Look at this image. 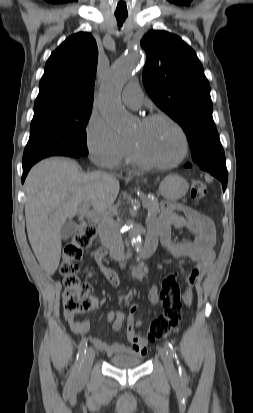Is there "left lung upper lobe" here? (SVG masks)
Listing matches in <instances>:
<instances>
[{"mask_svg":"<svg viewBox=\"0 0 253 413\" xmlns=\"http://www.w3.org/2000/svg\"><path fill=\"white\" fill-rule=\"evenodd\" d=\"M146 51L143 83L154 103L184 130L192 159L199 166L226 163L212 117L210 85L194 50L166 31H149L141 40Z\"/></svg>","mask_w":253,"mask_h":413,"instance_id":"1","label":"left lung upper lobe"}]
</instances>
